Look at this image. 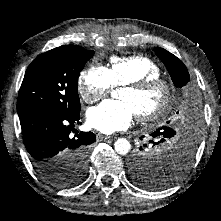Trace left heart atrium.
Wrapping results in <instances>:
<instances>
[{
    "mask_svg": "<svg viewBox=\"0 0 221 221\" xmlns=\"http://www.w3.org/2000/svg\"><path fill=\"white\" fill-rule=\"evenodd\" d=\"M135 116L129 103L122 100H104L87 112V121L95 129L111 134L128 128Z\"/></svg>",
    "mask_w": 221,
    "mask_h": 221,
    "instance_id": "left-heart-atrium-1",
    "label": "left heart atrium"
}]
</instances>
